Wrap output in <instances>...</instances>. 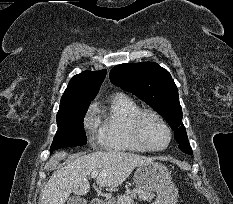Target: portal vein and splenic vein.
<instances>
[{"label":"portal vein and splenic vein","mask_w":233,"mask_h":204,"mask_svg":"<svg viewBox=\"0 0 233 204\" xmlns=\"http://www.w3.org/2000/svg\"><path fill=\"white\" fill-rule=\"evenodd\" d=\"M98 174H99V171H93L92 173H91V178H96L97 176H98Z\"/></svg>","instance_id":"1"}]
</instances>
